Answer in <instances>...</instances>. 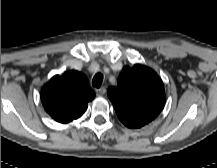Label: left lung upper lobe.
Masks as SVG:
<instances>
[{"instance_id":"obj_1","label":"left lung upper lobe","mask_w":217,"mask_h":168,"mask_svg":"<svg viewBox=\"0 0 217 168\" xmlns=\"http://www.w3.org/2000/svg\"><path fill=\"white\" fill-rule=\"evenodd\" d=\"M117 84L107 93L119 120L128 128H141L162 111L164 85L151 68L141 64L125 66Z\"/></svg>"}]
</instances>
